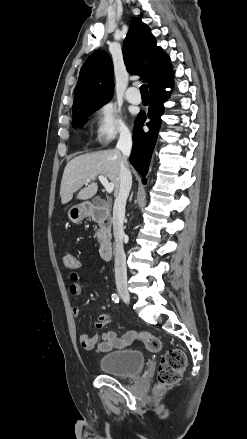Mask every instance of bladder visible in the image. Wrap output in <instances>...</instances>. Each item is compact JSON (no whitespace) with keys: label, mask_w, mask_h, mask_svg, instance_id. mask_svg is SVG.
<instances>
[{"label":"bladder","mask_w":247,"mask_h":439,"mask_svg":"<svg viewBox=\"0 0 247 439\" xmlns=\"http://www.w3.org/2000/svg\"><path fill=\"white\" fill-rule=\"evenodd\" d=\"M145 355L140 350L123 349L104 355L99 361L100 369L117 377H134L144 369Z\"/></svg>","instance_id":"31cf9c89"}]
</instances>
